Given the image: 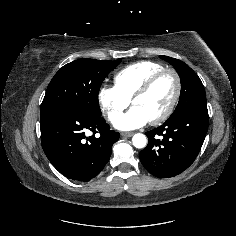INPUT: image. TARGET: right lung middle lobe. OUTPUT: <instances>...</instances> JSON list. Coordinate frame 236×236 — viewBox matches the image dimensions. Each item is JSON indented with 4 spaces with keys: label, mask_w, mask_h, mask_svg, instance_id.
Returning a JSON list of instances; mask_svg holds the SVG:
<instances>
[{
    "label": "right lung middle lobe",
    "mask_w": 236,
    "mask_h": 236,
    "mask_svg": "<svg viewBox=\"0 0 236 236\" xmlns=\"http://www.w3.org/2000/svg\"><path fill=\"white\" fill-rule=\"evenodd\" d=\"M121 60L120 58L115 61H100L82 58L60 68L48 85L40 114L57 107L68 106L101 116L98 102L100 86Z\"/></svg>",
    "instance_id": "dd1d6c3e"
}]
</instances>
